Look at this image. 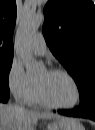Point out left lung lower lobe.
<instances>
[{
	"instance_id": "obj_1",
	"label": "left lung lower lobe",
	"mask_w": 95,
	"mask_h": 130,
	"mask_svg": "<svg viewBox=\"0 0 95 130\" xmlns=\"http://www.w3.org/2000/svg\"><path fill=\"white\" fill-rule=\"evenodd\" d=\"M59 114L71 117H80L95 120V89L80 99V105L73 110H59Z\"/></svg>"
}]
</instances>
